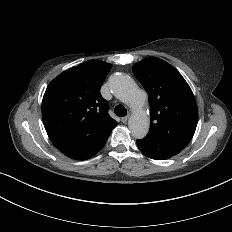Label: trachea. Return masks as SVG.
<instances>
[{
    "mask_svg": "<svg viewBox=\"0 0 232 232\" xmlns=\"http://www.w3.org/2000/svg\"><path fill=\"white\" fill-rule=\"evenodd\" d=\"M114 112L119 117H124L127 115V110L123 105H117L114 109Z\"/></svg>",
    "mask_w": 232,
    "mask_h": 232,
    "instance_id": "1",
    "label": "trachea"
}]
</instances>
